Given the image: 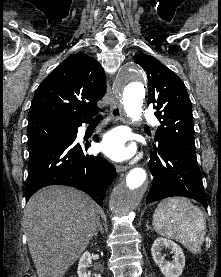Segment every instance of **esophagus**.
I'll use <instances>...</instances> for the list:
<instances>
[{
    "mask_svg": "<svg viewBox=\"0 0 221 277\" xmlns=\"http://www.w3.org/2000/svg\"><path fill=\"white\" fill-rule=\"evenodd\" d=\"M107 94L109 96L111 116L116 120L119 119V120L125 121V115L122 109V105L119 99L114 95L109 82L107 83ZM127 169H128V166H121V165L116 166L117 172L126 171Z\"/></svg>",
    "mask_w": 221,
    "mask_h": 277,
    "instance_id": "obj_1",
    "label": "esophagus"
}]
</instances>
